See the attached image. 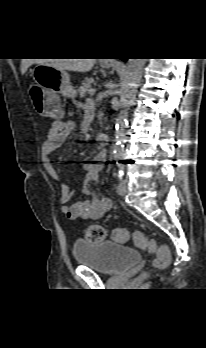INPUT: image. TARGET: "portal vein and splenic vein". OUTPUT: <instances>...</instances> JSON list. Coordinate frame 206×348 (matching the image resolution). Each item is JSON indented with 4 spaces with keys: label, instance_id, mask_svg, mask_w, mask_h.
Here are the masks:
<instances>
[{
    "label": "portal vein and splenic vein",
    "instance_id": "obj_1",
    "mask_svg": "<svg viewBox=\"0 0 206 348\" xmlns=\"http://www.w3.org/2000/svg\"><path fill=\"white\" fill-rule=\"evenodd\" d=\"M96 93V89H91L90 90V95H94Z\"/></svg>",
    "mask_w": 206,
    "mask_h": 348
}]
</instances>
